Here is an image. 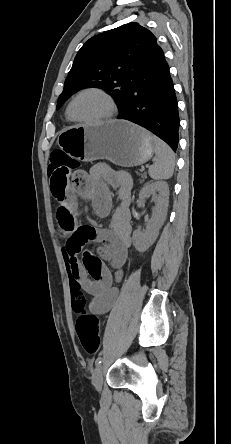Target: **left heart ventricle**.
I'll return each instance as SVG.
<instances>
[{"label":"left heart ventricle","mask_w":231,"mask_h":444,"mask_svg":"<svg viewBox=\"0 0 231 444\" xmlns=\"http://www.w3.org/2000/svg\"><path fill=\"white\" fill-rule=\"evenodd\" d=\"M73 112L78 118L94 120L108 112V104L100 94L87 92L77 98Z\"/></svg>","instance_id":"1"}]
</instances>
